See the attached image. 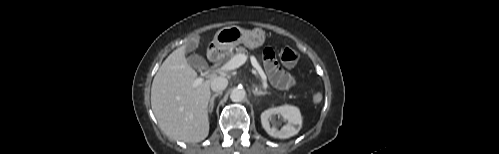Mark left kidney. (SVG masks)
I'll return each mask as SVG.
<instances>
[{
    "label": "left kidney",
    "instance_id": "1",
    "mask_svg": "<svg viewBox=\"0 0 499 154\" xmlns=\"http://www.w3.org/2000/svg\"><path fill=\"white\" fill-rule=\"evenodd\" d=\"M275 115H281L286 121L280 130L270 126V120ZM261 123L266 132L275 138L286 139L297 134L302 126L300 110L292 105H283L265 110L261 114Z\"/></svg>",
    "mask_w": 499,
    "mask_h": 154
}]
</instances>
